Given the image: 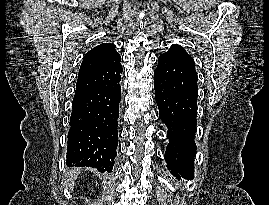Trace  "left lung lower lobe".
Masks as SVG:
<instances>
[{"mask_svg":"<svg viewBox=\"0 0 269 205\" xmlns=\"http://www.w3.org/2000/svg\"><path fill=\"white\" fill-rule=\"evenodd\" d=\"M154 76L159 116L168 127L169 144L164 155L167 167L177 178L192 179L198 96L195 64L162 54Z\"/></svg>","mask_w":269,"mask_h":205,"instance_id":"0a47b994","label":"left lung lower lobe"}]
</instances>
